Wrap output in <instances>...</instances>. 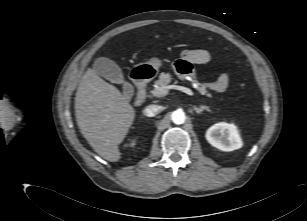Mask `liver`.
<instances>
[{
  "instance_id": "liver-1",
  "label": "liver",
  "mask_w": 307,
  "mask_h": 221,
  "mask_svg": "<svg viewBox=\"0 0 307 221\" xmlns=\"http://www.w3.org/2000/svg\"><path fill=\"white\" fill-rule=\"evenodd\" d=\"M75 114L80 132L94 151L105 160L118 161V146L135 119L134 108L120 91L88 69L76 92Z\"/></svg>"
}]
</instances>
